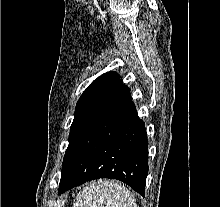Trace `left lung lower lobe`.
I'll use <instances>...</instances> for the list:
<instances>
[{"instance_id": "0a47b994", "label": "left lung lower lobe", "mask_w": 220, "mask_h": 207, "mask_svg": "<svg viewBox=\"0 0 220 207\" xmlns=\"http://www.w3.org/2000/svg\"><path fill=\"white\" fill-rule=\"evenodd\" d=\"M148 173L145 125L119 79L69 139L58 193L98 178L118 179L144 196Z\"/></svg>"}]
</instances>
